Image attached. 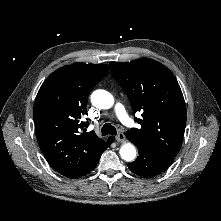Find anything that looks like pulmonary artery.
I'll return each instance as SVG.
<instances>
[{"label":"pulmonary artery","mask_w":221,"mask_h":221,"mask_svg":"<svg viewBox=\"0 0 221 221\" xmlns=\"http://www.w3.org/2000/svg\"><path fill=\"white\" fill-rule=\"evenodd\" d=\"M114 111L118 119L125 125L131 126L132 125V120L128 116L124 106L121 103H116L114 107Z\"/></svg>","instance_id":"1"}]
</instances>
